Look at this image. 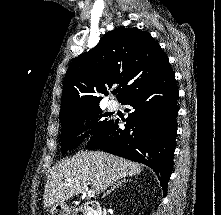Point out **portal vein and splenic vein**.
Here are the masks:
<instances>
[{"label": "portal vein and splenic vein", "instance_id": "portal-vein-and-splenic-vein-1", "mask_svg": "<svg viewBox=\"0 0 221 215\" xmlns=\"http://www.w3.org/2000/svg\"><path fill=\"white\" fill-rule=\"evenodd\" d=\"M95 190H89L88 192H87V195H88V197H94L95 196Z\"/></svg>", "mask_w": 221, "mask_h": 215}]
</instances>
